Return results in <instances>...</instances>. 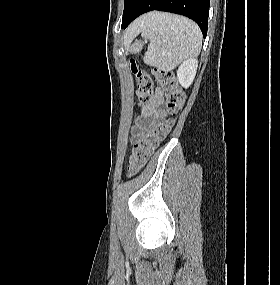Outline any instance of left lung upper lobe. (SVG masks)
<instances>
[{
  "mask_svg": "<svg viewBox=\"0 0 280 285\" xmlns=\"http://www.w3.org/2000/svg\"><path fill=\"white\" fill-rule=\"evenodd\" d=\"M136 1L137 0H125L122 23L125 21V19L130 14V12H131L132 8L134 7Z\"/></svg>",
  "mask_w": 280,
  "mask_h": 285,
  "instance_id": "1",
  "label": "left lung upper lobe"
}]
</instances>
